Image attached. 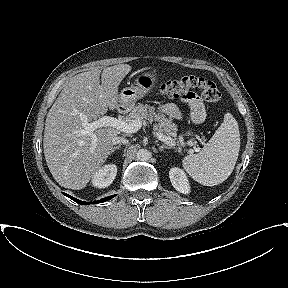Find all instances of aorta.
<instances>
[{
	"instance_id": "1",
	"label": "aorta",
	"mask_w": 288,
	"mask_h": 288,
	"mask_svg": "<svg viewBox=\"0 0 288 288\" xmlns=\"http://www.w3.org/2000/svg\"><path fill=\"white\" fill-rule=\"evenodd\" d=\"M136 158L140 161H147L150 158V152L147 149H139Z\"/></svg>"
}]
</instances>
